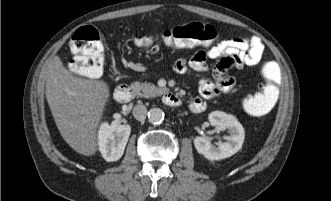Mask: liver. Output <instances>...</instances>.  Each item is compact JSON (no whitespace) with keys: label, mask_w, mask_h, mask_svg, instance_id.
<instances>
[{"label":"liver","mask_w":331,"mask_h":201,"mask_svg":"<svg viewBox=\"0 0 331 201\" xmlns=\"http://www.w3.org/2000/svg\"><path fill=\"white\" fill-rule=\"evenodd\" d=\"M43 74L46 99L61 136L76 152L95 154L97 129L110 96L108 85L74 76L58 56L48 60Z\"/></svg>","instance_id":"1"}]
</instances>
